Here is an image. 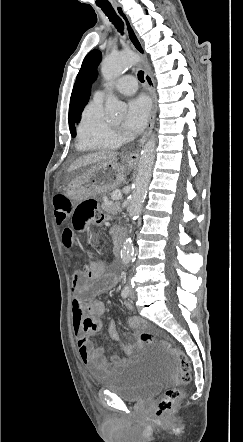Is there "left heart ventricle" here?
Instances as JSON below:
<instances>
[{"label": "left heart ventricle", "instance_id": "obj_1", "mask_svg": "<svg viewBox=\"0 0 243 442\" xmlns=\"http://www.w3.org/2000/svg\"><path fill=\"white\" fill-rule=\"evenodd\" d=\"M111 123H112L113 125L117 126V127H120L121 124H122V121H121V120H114V121H112Z\"/></svg>", "mask_w": 243, "mask_h": 442}]
</instances>
